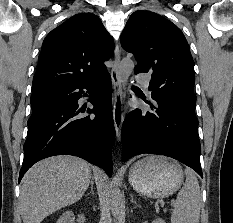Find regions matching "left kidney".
I'll return each mask as SVG.
<instances>
[{
  "instance_id": "1",
  "label": "left kidney",
  "mask_w": 233,
  "mask_h": 223,
  "mask_svg": "<svg viewBox=\"0 0 233 223\" xmlns=\"http://www.w3.org/2000/svg\"><path fill=\"white\" fill-rule=\"evenodd\" d=\"M152 223H166L162 217H157V219H153Z\"/></svg>"
}]
</instances>
